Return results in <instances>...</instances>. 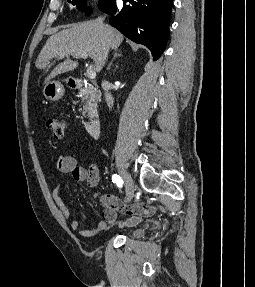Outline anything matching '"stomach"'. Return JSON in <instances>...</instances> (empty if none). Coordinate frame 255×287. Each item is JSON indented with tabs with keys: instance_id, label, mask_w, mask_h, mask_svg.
I'll return each instance as SVG.
<instances>
[{
	"instance_id": "0dacf381",
	"label": "stomach",
	"mask_w": 255,
	"mask_h": 287,
	"mask_svg": "<svg viewBox=\"0 0 255 287\" xmlns=\"http://www.w3.org/2000/svg\"><path fill=\"white\" fill-rule=\"evenodd\" d=\"M64 94L65 88L61 82H47L43 88V96H45L46 100H51V102H57Z\"/></svg>"
}]
</instances>
